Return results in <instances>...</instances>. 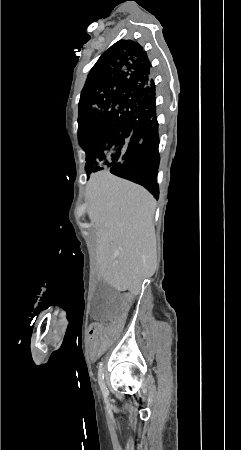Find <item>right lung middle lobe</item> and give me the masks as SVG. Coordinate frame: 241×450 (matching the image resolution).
<instances>
[{
	"instance_id": "dd1d6c3e",
	"label": "right lung middle lobe",
	"mask_w": 241,
	"mask_h": 450,
	"mask_svg": "<svg viewBox=\"0 0 241 450\" xmlns=\"http://www.w3.org/2000/svg\"><path fill=\"white\" fill-rule=\"evenodd\" d=\"M146 100L119 95L113 85L85 83L78 115V139L86 152L85 170L109 169L143 140L130 123L144 116Z\"/></svg>"
}]
</instances>
